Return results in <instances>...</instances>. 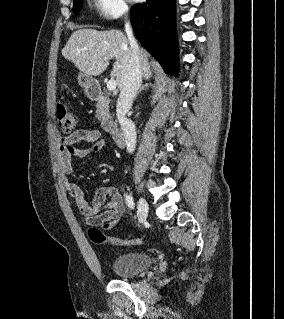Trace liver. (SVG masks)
<instances>
[{"label": "liver", "instance_id": "obj_1", "mask_svg": "<svg viewBox=\"0 0 284 319\" xmlns=\"http://www.w3.org/2000/svg\"><path fill=\"white\" fill-rule=\"evenodd\" d=\"M140 50V65L145 80L151 77L148 53ZM65 59L88 76L102 74L109 65V61L115 58L111 77H116V82L121 89L127 66L131 57L128 38L119 30L98 31L95 29H78L70 36L62 49Z\"/></svg>", "mask_w": 284, "mask_h": 319}]
</instances>
